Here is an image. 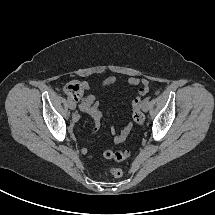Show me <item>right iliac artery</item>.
I'll use <instances>...</instances> for the list:
<instances>
[{
  "label": "right iliac artery",
  "instance_id": "82829eb1",
  "mask_svg": "<svg viewBox=\"0 0 215 215\" xmlns=\"http://www.w3.org/2000/svg\"><path fill=\"white\" fill-rule=\"evenodd\" d=\"M68 101H72L69 97L67 98Z\"/></svg>",
  "mask_w": 215,
  "mask_h": 215
}]
</instances>
